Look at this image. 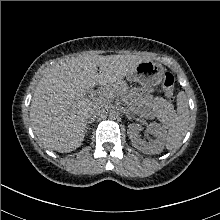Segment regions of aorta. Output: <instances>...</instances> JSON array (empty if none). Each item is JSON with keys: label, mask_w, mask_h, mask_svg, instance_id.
<instances>
[{"label": "aorta", "mask_w": 220, "mask_h": 220, "mask_svg": "<svg viewBox=\"0 0 220 220\" xmlns=\"http://www.w3.org/2000/svg\"><path fill=\"white\" fill-rule=\"evenodd\" d=\"M109 116H110L111 118H115V117L119 116V111H118L117 109H111V110L109 111Z\"/></svg>", "instance_id": "aorta-1"}]
</instances>
